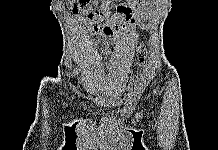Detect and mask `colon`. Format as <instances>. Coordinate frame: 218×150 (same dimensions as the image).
I'll use <instances>...</instances> for the list:
<instances>
[{"mask_svg":"<svg viewBox=\"0 0 218 150\" xmlns=\"http://www.w3.org/2000/svg\"><path fill=\"white\" fill-rule=\"evenodd\" d=\"M86 0H77V2L73 5V10L77 9L80 5L84 4ZM146 56V49L141 48L139 50V58L143 61Z\"/></svg>","mask_w":218,"mask_h":150,"instance_id":"5ec220e1","label":"colon"}]
</instances>
